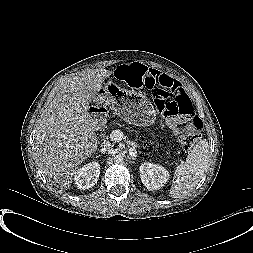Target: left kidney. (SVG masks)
Segmentation results:
<instances>
[{"mask_svg":"<svg viewBox=\"0 0 253 253\" xmlns=\"http://www.w3.org/2000/svg\"><path fill=\"white\" fill-rule=\"evenodd\" d=\"M139 170L142 183L150 191L163 187L169 178V172L158 164L146 162L141 164Z\"/></svg>","mask_w":253,"mask_h":253,"instance_id":"left-kidney-1","label":"left kidney"}]
</instances>
